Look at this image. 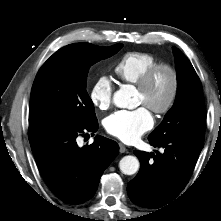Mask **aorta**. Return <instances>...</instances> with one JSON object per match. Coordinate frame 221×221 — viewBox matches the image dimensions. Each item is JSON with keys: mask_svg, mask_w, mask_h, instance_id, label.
Segmentation results:
<instances>
[{"mask_svg": "<svg viewBox=\"0 0 221 221\" xmlns=\"http://www.w3.org/2000/svg\"><path fill=\"white\" fill-rule=\"evenodd\" d=\"M133 91L129 86H123L114 93L113 103L119 108H128L131 105V97ZM140 163L135 156H124L119 163V167L122 173L126 175H133L139 169Z\"/></svg>", "mask_w": 221, "mask_h": 221, "instance_id": "aorta-1", "label": "aorta"}]
</instances>
